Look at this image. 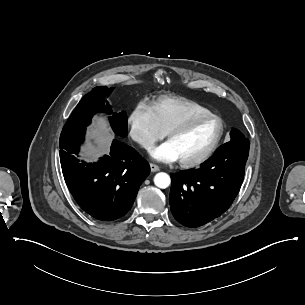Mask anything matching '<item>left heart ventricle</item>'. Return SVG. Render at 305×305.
<instances>
[{
  "label": "left heart ventricle",
  "instance_id": "left-heart-ventricle-1",
  "mask_svg": "<svg viewBox=\"0 0 305 305\" xmlns=\"http://www.w3.org/2000/svg\"><path fill=\"white\" fill-rule=\"evenodd\" d=\"M221 122L217 118L195 123L169 140L177 150L179 159H193L207 151L218 139Z\"/></svg>",
  "mask_w": 305,
  "mask_h": 305
}]
</instances>
